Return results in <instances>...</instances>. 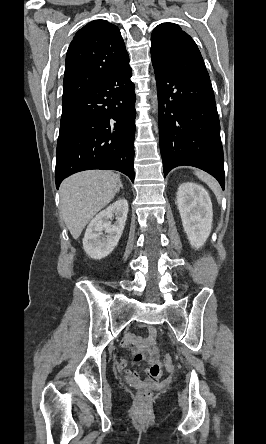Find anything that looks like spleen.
Wrapping results in <instances>:
<instances>
[{
    "mask_svg": "<svg viewBox=\"0 0 266 444\" xmlns=\"http://www.w3.org/2000/svg\"><path fill=\"white\" fill-rule=\"evenodd\" d=\"M195 175L211 188L217 199H221L220 186L214 178L202 171H195Z\"/></svg>",
    "mask_w": 266,
    "mask_h": 444,
    "instance_id": "1",
    "label": "spleen"
}]
</instances>
